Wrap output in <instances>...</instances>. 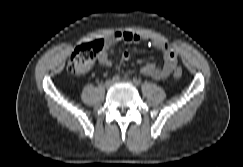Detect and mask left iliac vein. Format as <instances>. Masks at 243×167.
Returning <instances> with one entry per match:
<instances>
[{
  "mask_svg": "<svg viewBox=\"0 0 243 167\" xmlns=\"http://www.w3.org/2000/svg\"><path fill=\"white\" fill-rule=\"evenodd\" d=\"M118 82L132 84V82L128 79H123V80L118 81Z\"/></svg>",
  "mask_w": 243,
  "mask_h": 167,
  "instance_id": "left-iliac-vein-1",
  "label": "left iliac vein"
}]
</instances>
